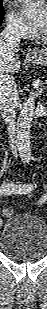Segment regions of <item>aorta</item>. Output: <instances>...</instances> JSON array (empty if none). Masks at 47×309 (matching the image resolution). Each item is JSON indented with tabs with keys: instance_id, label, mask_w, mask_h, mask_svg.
<instances>
[{
	"instance_id": "obj_1",
	"label": "aorta",
	"mask_w": 47,
	"mask_h": 309,
	"mask_svg": "<svg viewBox=\"0 0 47 309\" xmlns=\"http://www.w3.org/2000/svg\"><path fill=\"white\" fill-rule=\"evenodd\" d=\"M35 111L36 99L33 95H29L22 104L16 128L17 149L23 157H29L31 155L30 129L35 116Z\"/></svg>"
}]
</instances>
